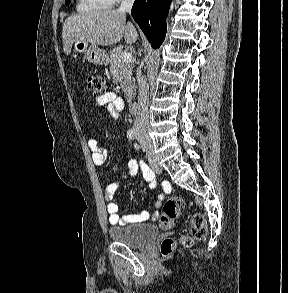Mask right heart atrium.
I'll return each instance as SVG.
<instances>
[{"mask_svg":"<svg viewBox=\"0 0 288 293\" xmlns=\"http://www.w3.org/2000/svg\"><path fill=\"white\" fill-rule=\"evenodd\" d=\"M120 0H111L112 3L119 2Z\"/></svg>","mask_w":288,"mask_h":293,"instance_id":"right-heart-atrium-1","label":"right heart atrium"}]
</instances>
